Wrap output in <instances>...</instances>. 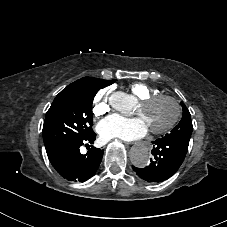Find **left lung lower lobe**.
<instances>
[{
  "mask_svg": "<svg viewBox=\"0 0 227 227\" xmlns=\"http://www.w3.org/2000/svg\"><path fill=\"white\" fill-rule=\"evenodd\" d=\"M152 143L154 146L151 153L154 157L150 159L151 164L141 169L132 168L148 182H163L179 169L186 156L189 141L162 137Z\"/></svg>",
  "mask_w": 227,
  "mask_h": 227,
  "instance_id": "0a47b994",
  "label": "left lung lower lobe"
}]
</instances>
